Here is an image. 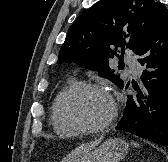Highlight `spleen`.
Instances as JSON below:
<instances>
[{
    "label": "spleen",
    "instance_id": "spleen-1",
    "mask_svg": "<svg viewBox=\"0 0 168 162\" xmlns=\"http://www.w3.org/2000/svg\"><path fill=\"white\" fill-rule=\"evenodd\" d=\"M132 144H133L135 147H139V144H138V143L132 142Z\"/></svg>",
    "mask_w": 168,
    "mask_h": 162
}]
</instances>
